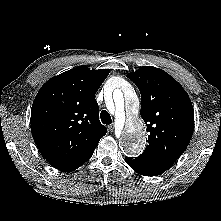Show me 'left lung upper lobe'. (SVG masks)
I'll use <instances>...</instances> for the list:
<instances>
[{
	"label": "left lung upper lobe",
	"instance_id": "obj_1",
	"mask_svg": "<svg viewBox=\"0 0 221 221\" xmlns=\"http://www.w3.org/2000/svg\"><path fill=\"white\" fill-rule=\"evenodd\" d=\"M141 93L146 123L145 155L172 165L187 148L194 130V110L187 92L165 71L145 66L127 75Z\"/></svg>",
	"mask_w": 221,
	"mask_h": 221
}]
</instances>
